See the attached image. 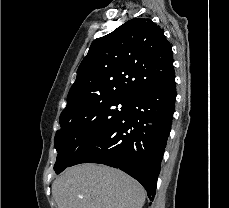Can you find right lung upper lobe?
<instances>
[{
	"label": "right lung upper lobe",
	"mask_w": 229,
	"mask_h": 208,
	"mask_svg": "<svg viewBox=\"0 0 229 208\" xmlns=\"http://www.w3.org/2000/svg\"><path fill=\"white\" fill-rule=\"evenodd\" d=\"M173 74L172 49L163 30L150 19H131L92 42L60 118L100 98H134Z\"/></svg>",
	"instance_id": "obj_1"
}]
</instances>
